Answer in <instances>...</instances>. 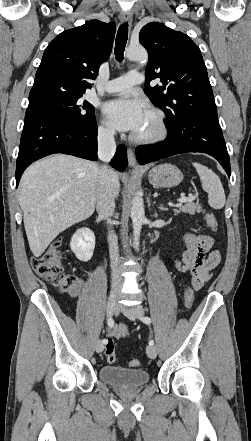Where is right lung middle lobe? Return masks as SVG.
I'll return each mask as SVG.
<instances>
[{
	"label": "right lung middle lobe",
	"instance_id": "dd1d6c3e",
	"mask_svg": "<svg viewBox=\"0 0 251 441\" xmlns=\"http://www.w3.org/2000/svg\"><path fill=\"white\" fill-rule=\"evenodd\" d=\"M82 95H56L29 102L28 110H37L63 118L78 126H87L95 121V109Z\"/></svg>",
	"mask_w": 251,
	"mask_h": 441
}]
</instances>
